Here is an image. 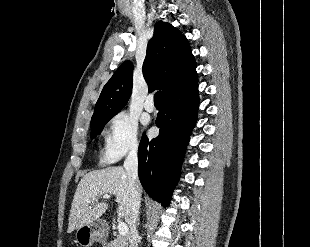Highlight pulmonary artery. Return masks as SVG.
Segmentation results:
<instances>
[{
	"label": "pulmonary artery",
	"mask_w": 310,
	"mask_h": 247,
	"mask_svg": "<svg viewBox=\"0 0 310 247\" xmlns=\"http://www.w3.org/2000/svg\"><path fill=\"white\" fill-rule=\"evenodd\" d=\"M144 108L148 112H153L155 110L154 102H153V97L149 96L147 97L145 103H144Z\"/></svg>",
	"instance_id": "e3ab8cb5"
}]
</instances>
